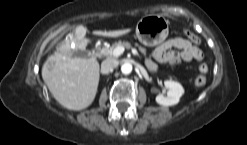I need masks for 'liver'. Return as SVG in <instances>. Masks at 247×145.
I'll use <instances>...</instances> for the list:
<instances>
[{
    "label": "liver",
    "instance_id": "1",
    "mask_svg": "<svg viewBox=\"0 0 247 145\" xmlns=\"http://www.w3.org/2000/svg\"><path fill=\"white\" fill-rule=\"evenodd\" d=\"M130 31H94V34L120 37ZM85 34L86 28L77 26L75 33L69 34L57 52L50 55L42 66V78L52 96L69 110L80 111L90 106L99 84L98 61L95 58L72 57V51L84 50L90 42Z\"/></svg>",
    "mask_w": 247,
    "mask_h": 145
}]
</instances>
